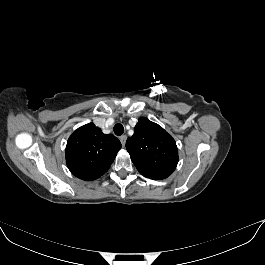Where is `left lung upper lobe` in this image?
I'll return each mask as SVG.
<instances>
[{
	"label": "left lung upper lobe",
	"mask_w": 265,
	"mask_h": 265,
	"mask_svg": "<svg viewBox=\"0 0 265 265\" xmlns=\"http://www.w3.org/2000/svg\"><path fill=\"white\" fill-rule=\"evenodd\" d=\"M126 149L138 171L153 180L170 176L178 164L175 140L158 124L141 117Z\"/></svg>",
	"instance_id": "5c2ea615"
}]
</instances>
